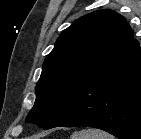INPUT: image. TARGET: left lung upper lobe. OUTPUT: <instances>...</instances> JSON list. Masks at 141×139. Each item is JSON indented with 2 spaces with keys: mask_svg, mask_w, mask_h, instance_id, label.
Masks as SVG:
<instances>
[{
  "mask_svg": "<svg viewBox=\"0 0 141 139\" xmlns=\"http://www.w3.org/2000/svg\"><path fill=\"white\" fill-rule=\"evenodd\" d=\"M132 40L125 18L109 9L77 19L44 61L26 121L45 127L84 80Z\"/></svg>",
  "mask_w": 141,
  "mask_h": 139,
  "instance_id": "1",
  "label": "left lung upper lobe"
}]
</instances>
